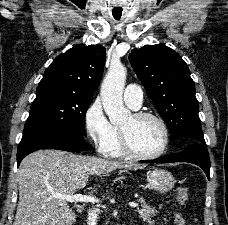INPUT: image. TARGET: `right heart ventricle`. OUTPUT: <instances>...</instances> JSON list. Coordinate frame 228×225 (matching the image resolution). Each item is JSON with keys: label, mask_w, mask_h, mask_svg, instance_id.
Segmentation results:
<instances>
[{"label": "right heart ventricle", "mask_w": 228, "mask_h": 225, "mask_svg": "<svg viewBox=\"0 0 228 225\" xmlns=\"http://www.w3.org/2000/svg\"><path fill=\"white\" fill-rule=\"evenodd\" d=\"M101 151L105 156L112 158L123 157L126 155L122 148L121 129L119 127L114 126V134L112 139L103 146Z\"/></svg>", "instance_id": "obj_1"}]
</instances>
